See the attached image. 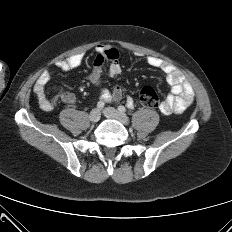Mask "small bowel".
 Returning <instances> with one entry per match:
<instances>
[{
  "label": "small bowel",
  "instance_id": "small-bowel-1",
  "mask_svg": "<svg viewBox=\"0 0 232 232\" xmlns=\"http://www.w3.org/2000/svg\"><path fill=\"white\" fill-rule=\"evenodd\" d=\"M96 57L93 61L92 68L87 75V80L96 86H102L103 71L106 62H109L107 68V76L116 78L122 72L119 64V53L116 49L110 48L104 44H98L95 48ZM146 64L154 69L160 70L166 76L170 85V93L160 104L159 110L162 114L168 115L172 113L183 112L194 100V91L191 84L185 80L180 71L171 63L152 55L144 57ZM84 61V54L77 53L71 57L56 62V67L61 71H71L78 68ZM50 80V74L44 71L37 79L34 85V93L40 107L44 111H51L54 103L47 97L45 87ZM61 100L66 104H74L76 97L71 92H64L60 96ZM123 98V90L120 86L115 85L111 89H101V99L103 102H117ZM127 105H132V98L128 97Z\"/></svg>",
  "mask_w": 232,
  "mask_h": 232
}]
</instances>
